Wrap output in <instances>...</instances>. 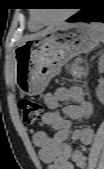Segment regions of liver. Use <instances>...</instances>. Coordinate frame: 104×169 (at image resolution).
I'll use <instances>...</instances> for the list:
<instances>
[{
    "label": "liver",
    "instance_id": "1",
    "mask_svg": "<svg viewBox=\"0 0 104 169\" xmlns=\"http://www.w3.org/2000/svg\"><path fill=\"white\" fill-rule=\"evenodd\" d=\"M48 30H49V29H46V30L42 31L41 33L34 34V35H32L31 37H29V39H30V38H33V37H36V36H38V35H40V34L46 32V31H48Z\"/></svg>",
    "mask_w": 104,
    "mask_h": 169
}]
</instances>
